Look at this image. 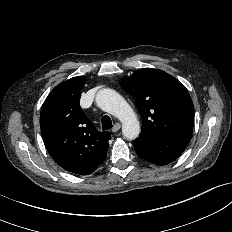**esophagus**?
<instances>
[{
  "label": "esophagus",
  "instance_id": "1",
  "mask_svg": "<svg viewBox=\"0 0 232 232\" xmlns=\"http://www.w3.org/2000/svg\"><path fill=\"white\" fill-rule=\"evenodd\" d=\"M120 128H121V125L119 123H116L112 128V132L116 133L119 131Z\"/></svg>",
  "mask_w": 232,
  "mask_h": 232
}]
</instances>
